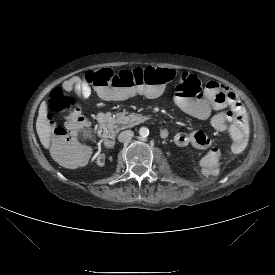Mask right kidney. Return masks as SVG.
I'll return each instance as SVG.
<instances>
[{"label":"right kidney","instance_id":"right-kidney-1","mask_svg":"<svg viewBox=\"0 0 275 275\" xmlns=\"http://www.w3.org/2000/svg\"><path fill=\"white\" fill-rule=\"evenodd\" d=\"M107 157L104 156L102 153H99L96 156L95 159V164L100 168V169H105L107 167Z\"/></svg>","mask_w":275,"mask_h":275}]
</instances>
